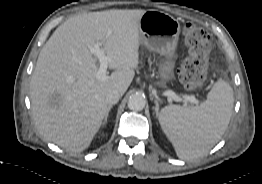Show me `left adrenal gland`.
Listing matches in <instances>:
<instances>
[{
    "label": "left adrenal gland",
    "instance_id": "obj_1",
    "mask_svg": "<svg viewBox=\"0 0 262 184\" xmlns=\"http://www.w3.org/2000/svg\"><path fill=\"white\" fill-rule=\"evenodd\" d=\"M155 104H156V106H155V112H156V115H158V111H159V102H158L157 99H155Z\"/></svg>",
    "mask_w": 262,
    "mask_h": 184
}]
</instances>
